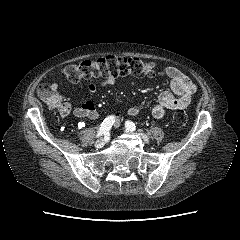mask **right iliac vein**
I'll use <instances>...</instances> for the list:
<instances>
[{
	"instance_id": "63e3f726",
	"label": "right iliac vein",
	"mask_w": 240,
	"mask_h": 240,
	"mask_svg": "<svg viewBox=\"0 0 240 240\" xmlns=\"http://www.w3.org/2000/svg\"><path fill=\"white\" fill-rule=\"evenodd\" d=\"M104 145H105V140L103 138H100L95 142L96 148H102Z\"/></svg>"
}]
</instances>
